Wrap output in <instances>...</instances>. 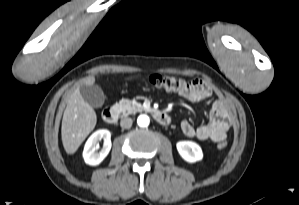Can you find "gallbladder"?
<instances>
[{
    "label": "gallbladder",
    "instance_id": "bac80fb5",
    "mask_svg": "<svg viewBox=\"0 0 299 205\" xmlns=\"http://www.w3.org/2000/svg\"><path fill=\"white\" fill-rule=\"evenodd\" d=\"M79 90L84 100L92 107L99 108L104 104L105 96L98 85L82 84Z\"/></svg>",
    "mask_w": 299,
    "mask_h": 205
}]
</instances>
